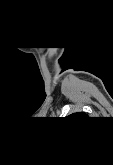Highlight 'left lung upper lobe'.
I'll return each instance as SVG.
<instances>
[{"label": "left lung upper lobe", "mask_w": 113, "mask_h": 165, "mask_svg": "<svg viewBox=\"0 0 113 165\" xmlns=\"http://www.w3.org/2000/svg\"><path fill=\"white\" fill-rule=\"evenodd\" d=\"M79 114H84V113H75V114H73V115H79Z\"/></svg>", "instance_id": "1"}]
</instances>
